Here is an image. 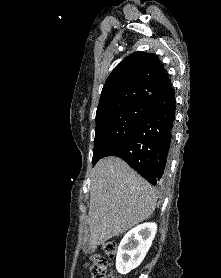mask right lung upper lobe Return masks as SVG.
<instances>
[{"instance_id":"1","label":"right lung upper lobe","mask_w":221,"mask_h":278,"mask_svg":"<svg viewBox=\"0 0 221 278\" xmlns=\"http://www.w3.org/2000/svg\"><path fill=\"white\" fill-rule=\"evenodd\" d=\"M172 87L159 59L136 52L122 60L107 78L96 116L135 101L148 98Z\"/></svg>"}]
</instances>
